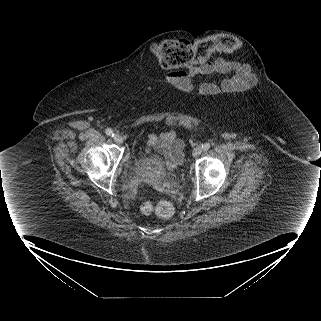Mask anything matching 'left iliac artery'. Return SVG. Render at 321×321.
<instances>
[{
  "instance_id": "obj_1",
  "label": "left iliac artery",
  "mask_w": 321,
  "mask_h": 321,
  "mask_svg": "<svg viewBox=\"0 0 321 321\" xmlns=\"http://www.w3.org/2000/svg\"><path fill=\"white\" fill-rule=\"evenodd\" d=\"M210 148V143H204L203 145H202V149L204 150V151H206V150H208Z\"/></svg>"
}]
</instances>
